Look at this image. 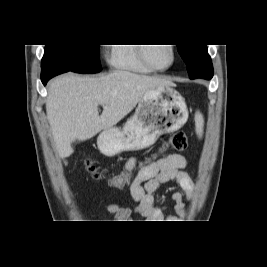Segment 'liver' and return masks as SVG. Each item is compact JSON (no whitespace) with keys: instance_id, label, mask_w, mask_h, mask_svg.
I'll return each instance as SVG.
<instances>
[{"instance_id":"1","label":"liver","mask_w":267,"mask_h":267,"mask_svg":"<svg viewBox=\"0 0 267 267\" xmlns=\"http://www.w3.org/2000/svg\"><path fill=\"white\" fill-rule=\"evenodd\" d=\"M174 86L164 78L115 71L98 78L73 73L53 79L46 112L59 156L73 153L71 143L85 141L121 121L150 90ZM98 105L103 106L101 115ZM64 163L67 162L64 160Z\"/></svg>"}]
</instances>
